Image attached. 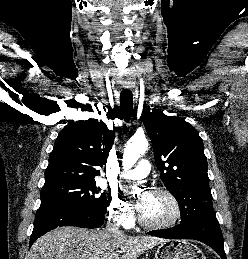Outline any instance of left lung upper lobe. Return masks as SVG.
Segmentation results:
<instances>
[{"label": "left lung upper lobe", "mask_w": 248, "mask_h": 259, "mask_svg": "<svg viewBox=\"0 0 248 259\" xmlns=\"http://www.w3.org/2000/svg\"><path fill=\"white\" fill-rule=\"evenodd\" d=\"M144 125L160 177L179 204L181 223L215 216L207 159L196 129L183 119L158 110L144 118Z\"/></svg>", "instance_id": "obj_1"}]
</instances>
